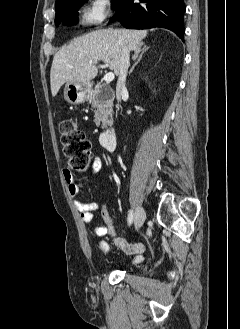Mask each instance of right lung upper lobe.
Instances as JSON below:
<instances>
[{
	"instance_id": "obj_1",
	"label": "right lung upper lobe",
	"mask_w": 240,
	"mask_h": 329,
	"mask_svg": "<svg viewBox=\"0 0 240 329\" xmlns=\"http://www.w3.org/2000/svg\"><path fill=\"white\" fill-rule=\"evenodd\" d=\"M66 1H68V0H56V2H55V8L58 7V6H60L61 4H63Z\"/></svg>"
}]
</instances>
